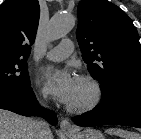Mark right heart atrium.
<instances>
[{"mask_svg":"<svg viewBox=\"0 0 141 139\" xmlns=\"http://www.w3.org/2000/svg\"><path fill=\"white\" fill-rule=\"evenodd\" d=\"M39 97H40L41 100L46 99V95L42 91L39 92Z\"/></svg>","mask_w":141,"mask_h":139,"instance_id":"1","label":"right heart atrium"}]
</instances>
